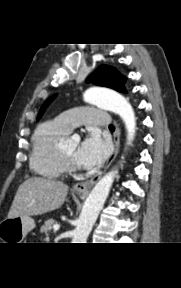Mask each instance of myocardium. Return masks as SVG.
I'll return each mask as SVG.
<instances>
[{
	"mask_svg": "<svg viewBox=\"0 0 181 288\" xmlns=\"http://www.w3.org/2000/svg\"><path fill=\"white\" fill-rule=\"evenodd\" d=\"M60 154L69 171L74 172L78 169L76 163L64 153L62 148H60Z\"/></svg>",
	"mask_w": 181,
	"mask_h": 288,
	"instance_id": "obj_1",
	"label": "myocardium"
}]
</instances>
